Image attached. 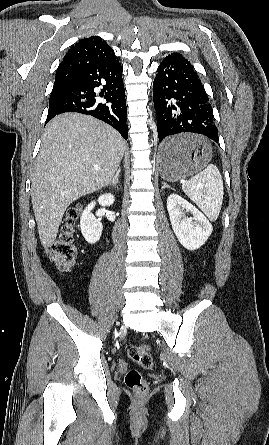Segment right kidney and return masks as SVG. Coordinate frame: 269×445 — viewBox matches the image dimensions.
Segmentation results:
<instances>
[{
	"label": "right kidney",
	"mask_w": 269,
	"mask_h": 445,
	"mask_svg": "<svg viewBox=\"0 0 269 445\" xmlns=\"http://www.w3.org/2000/svg\"><path fill=\"white\" fill-rule=\"evenodd\" d=\"M114 201L115 198L111 194H103L98 198V203L102 206H110ZM95 205V201L88 204L80 219L81 233L89 244L99 241L103 229L102 223L91 212Z\"/></svg>",
	"instance_id": "obj_1"
}]
</instances>
